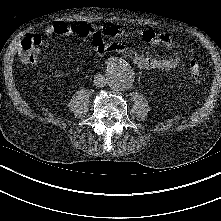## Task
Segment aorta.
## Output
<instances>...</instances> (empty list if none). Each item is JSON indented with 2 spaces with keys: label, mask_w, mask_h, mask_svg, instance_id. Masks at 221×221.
I'll return each mask as SVG.
<instances>
[{
  "label": "aorta",
  "mask_w": 221,
  "mask_h": 221,
  "mask_svg": "<svg viewBox=\"0 0 221 221\" xmlns=\"http://www.w3.org/2000/svg\"><path fill=\"white\" fill-rule=\"evenodd\" d=\"M106 80L111 89L121 91L131 87L134 73L126 61L116 60L107 66Z\"/></svg>",
  "instance_id": "obj_1"
}]
</instances>
